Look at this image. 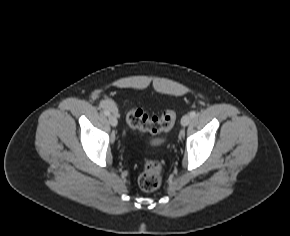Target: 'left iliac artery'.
I'll return each instance as SVG.
<instances>
[{"mask_svg":"<svg viewBox=\"0 0 290 236\" xmlns=\"http://www.w3.org/2000/svg\"><path fill=\"white\" fill-rule=\"evenodd\" d=\"M190 116H191V118L195 117L196 116V112L195 111H191L190 112Z\"/></svg>","mask_w":290,"mask_h":236,"instance_id":"44dca946","label":"left iliac artery"}]
</instances>
